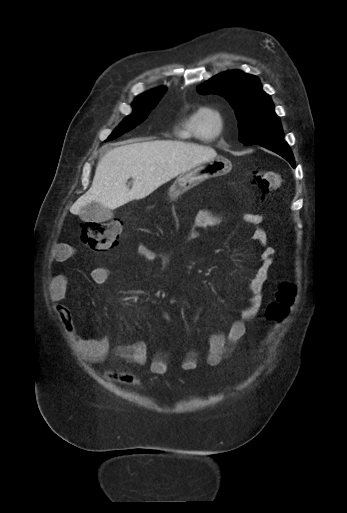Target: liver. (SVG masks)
Instances as JSON below:
<instances>
[{"instance_id":"liver-1","label":"liver","mask_w":347,"mask_h":513,"mask_svg":"<svg viewBox=\"0 0 347 513\" xmlns=\"http://www.w3.org/2000/svg\"><path fill=\"white\" fill-rule=\"evenodd\" d=\"M210 147L172 140L137 142L109 150L99 161L91 188L70 208L72 214L92 202L114 210L143 199L181 173L214 159ZM133 179L132 188L126 185Z\"/></svg>"}]
</instances>
